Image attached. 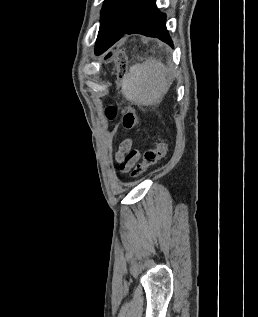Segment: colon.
Listing matches in <instances>:
<instances>
[{"instance_id": "colon-1", "label": "colon", "mask_w": 258, "mask_h": 317, "mask_svg": "<svg viewBox=\"0 0 258 317\" xmlns=\"http://www.w3.org/2000/svg\"><path fill=\"white\" fill-rule=\"evenodd\" d=\"M121 80L122 73L119 77V81ZM117 112L118 110L115 106H108L105 109V115L108 119H114ZM139 122L140 117L135 109L129 108L124 112L122 117V124L124 128L133 129L139 124ZM166 152L167 144L165 140L161 138V136L156 135L154 147L144 152L141 162L134 167L132 176H139L144 173L149 167L159 162L166 155Z\"/></svg>"}]
</instances>
